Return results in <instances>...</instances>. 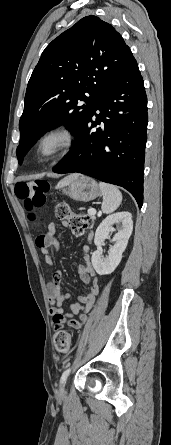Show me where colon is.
<instances>
[{"mask_svg": "<svg viewBox=\"0 0 171 445\" xmlns=\"http://www.w3.org/2000/svg\"><path fill=\"white\" fill-rule=\"evenodd\" d=\"M16 196L27 211H34L44 207L46 194L49 191V183L44 180L33 182H20L15 187ZM56 218L69 227L75 236H82L90 228L92 221L88 215L72 212L67 202H61L55 210ZM62 325L64 319L57 317L55 320ZM54 346L58 352H66L70 347V335L64 329H59L54 335Z\"/></svg>", "mask_w": 171, "mask_h": 445, "instance_id": "colon-1", "label": "colon"}]
</instances>
